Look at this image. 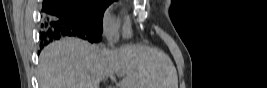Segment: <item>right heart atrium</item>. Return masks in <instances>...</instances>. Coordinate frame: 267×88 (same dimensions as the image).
Here are the masks:
<instances>
[{
  "instance_id": "d8ad5b80",
  "label": "right heart atrium",
  "mask_w": 267,
  "mask_h": 88,
  "mask_svg": "<svg viewBox=\"0 0 267 88\" xmlns=\"http://www.w3.org/2000/svg\"><path fill=\"white\" fill-rule=\"evenodd\" d=\"M102 22L106 38L114 42L118 36V21L110 10L104 13Z\"/></svg>"
}]
</instances>
